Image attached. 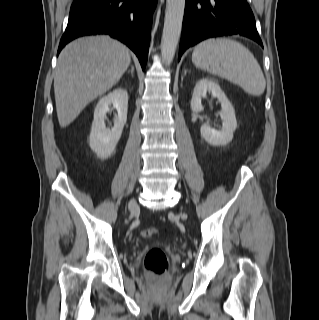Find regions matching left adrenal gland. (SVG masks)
Returning a JSON list of instances; mask_svg holds the SVG:
<instances>
[{"mask_svg":"<svg viewBox=\"0 0 319 320\" xmlns=\"http://www.w3.org/2000/svg\"><path fill=\"white\" fill-rule=\"evenodd\" d=\"M186 73H187V70L184 71V75H186Z\"/></svg>","mask_w":319,"mask_h":320,"instance_id":"obj_1","label":"left adrenal gland"}]
</instances>
